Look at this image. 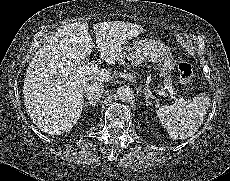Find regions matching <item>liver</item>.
Wrapping results in <instances>:
<instances>
[{"label":"liver","instance_id":"liver-1","mask_svg":"<svg viewBox=\"0 0 230 181\" xmlns=\"http://www.w3.org/2000/svg\"><path fill=\"white\" fill-rule=\"evenodd\" d=\"M115 23V22H114ZM114 23L94 25L96 46L87 23H75L47 38L32 59L24 81V102L30 118L43 132L61 134L76 125L84 107L85 89L110 80L111 73L98 68L87 75L78 68L89 65L94 48L107 64H115L128 39L142 32L141 26L121 28Z\"/></svg>","mask_w":230,"mask_h":181}]
</instances>
